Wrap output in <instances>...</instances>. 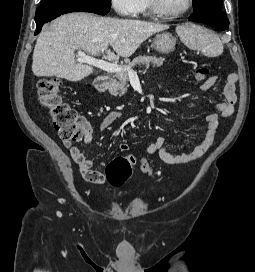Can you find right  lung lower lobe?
I'll return each mask as SVG.
<instances>
[{"instance_id":"right-lung-lower-lobe-1","label":"right lung lower lobe","mask_w":255,"mask_h":272,"mask_svg":"<svg viewBox=\"0 0 255 272\" xmlns=\"http://www.w3.org/2000/svg\"><path fill=\"white\" fill-rule=\"evenodd\" d=\"M70 12H91L87 9L75 6H62V5H41L35 15L36 31L37 35L44 23L50 22L51 20L57 18L58 16ZM93 13V12H92Z\"/></svg>"}]
</instances>
